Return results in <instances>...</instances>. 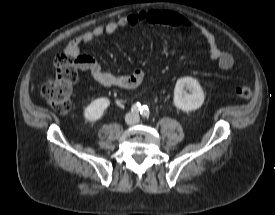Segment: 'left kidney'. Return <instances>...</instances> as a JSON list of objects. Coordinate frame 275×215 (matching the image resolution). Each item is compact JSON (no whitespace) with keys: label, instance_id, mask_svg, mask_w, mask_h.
<instances>
[{"label":"left kidney","instance_id":"1","mask_svg":"<svg viewBox=\"0 0 275 215\" xmlns=\"http://www.w3.org/2000/svg\"><path fill=\"white\" fill-rule=\"evenodd\" d=\"M190 90L187 93L184 88ZM174 105L182 111L198 109L204 102V93L199 82L192 77H182L176 82L174 89Z\"/></svg>","mask_w":275,"mask_h":215}]
</instances>
